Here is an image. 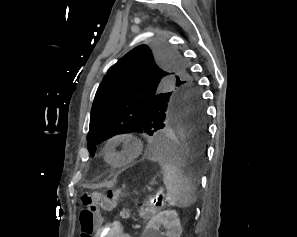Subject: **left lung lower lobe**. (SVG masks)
Listing matches in <instances>:
<instances>
[{"mask_svg":"<svg viewBox=\"0 0 297 237\" xmlns=\"http://www.w3.org/2000/svg\"><path fill=\"white\" fill-rule=\"evenodd\" d=\"M145 143L143 154L162 156L191 168L199 166L208 136L205 109L195 101L178 100Z\"/></svg>","mask_w":297,"mask_h":237,"instance_id":"obj_1","label":"left lung lower lobe"}]
</instances>
